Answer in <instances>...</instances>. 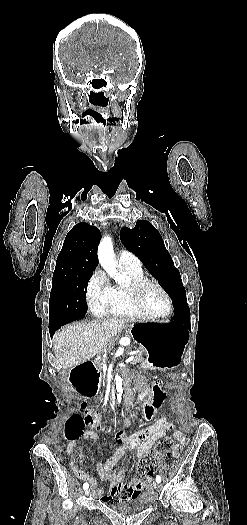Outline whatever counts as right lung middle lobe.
Instances as JSON below:
<instances>
[{
    "label": "right lung middle lobe",
    "instance_id": "obj_1",
    "mask_svg": "<svg viewBox=\"0 0 247 525\" xmlns=\"http://www.w3.org/2000/svg\"><path fill=\"white\" fill-rule=\"evenodd\" d=\"M92 273L54 271L49 299V327L61 326L85 316L87 284Z\"/></svg>",
    "mask_w": 247,
    "mask_h": 525
}]
</instances>
